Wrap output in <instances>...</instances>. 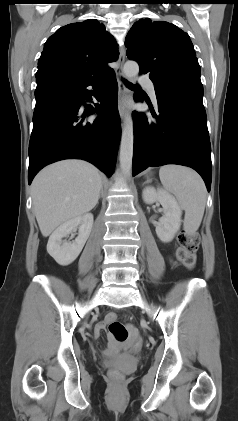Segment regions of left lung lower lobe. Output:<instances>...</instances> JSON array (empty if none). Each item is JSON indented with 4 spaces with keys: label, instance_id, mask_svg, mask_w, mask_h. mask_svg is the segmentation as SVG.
<instances>
[{
    "label": "left lung lower lobe",
    "instance_id": "left-lung-lower-lobe-1",
    "mask_svg": "<svg viewBox=\"0 0 238 421\" xmlns=\"http://www.w3.org/2000/svg\"><path fill=\"white\" fill-rule=\"evenodd\" d=\"M159 115L133 112V176L147 167L179 164L196 170L210 191L211 146L200 79L155 86ZM136 101H143L135 94Z\"/></svg>",
    "mask_w": 238,
    "mask_h": 421
}]
</instances>
